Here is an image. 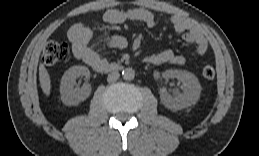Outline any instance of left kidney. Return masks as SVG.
Listing matches in <instances>:
<instances>
[{"label":"left kidney","instance_id":"left-kidney-1","mask_svg":"<svg viewBox=\"0 0 259 156\" xmlns=\"http://www.w3.org/2000/svg\"><path fill=\"white\" fill-rule=\"evenodd\" d=\"M164 79L176 78L182 82L183 93L172 97L166 88L160 89L162 104L173 111L182 110L194 105L200 98L201 85L198 78L185 70H166L162 73Z\"/></svg>","mask_w":259,"mask_h":156}]
</instances>
